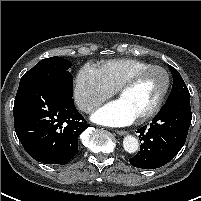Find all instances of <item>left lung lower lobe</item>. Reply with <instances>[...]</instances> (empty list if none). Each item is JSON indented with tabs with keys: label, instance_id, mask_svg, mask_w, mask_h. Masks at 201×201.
Wrapping results in <instances>:
<instances>
[{
	"label": "left lung lower lobe",
	"instance_id": "1",
	"mask_svg": "<svg viewBox=\"0 0 201 201\" xmlns=\"http://www.w3.org/2000/svg\"><path fill=\"white\" fill-rule=\"evenodd\" d=\"M191 119L190 96L167 100L150 126L138 129L142 144L140 151L129 159L130 164L156 169L168 163L183 147Z\"/></svg>",
	"mask_w": 201,
	"mask_h": 201
}]
</instances>
